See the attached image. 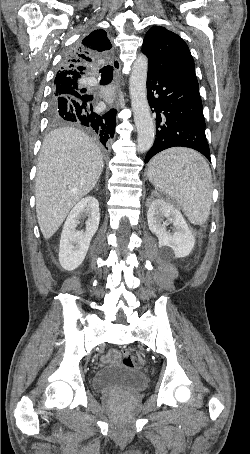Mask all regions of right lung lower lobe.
Masks as SVG:
<instances>
[{
	"mask_svg": "<svg viewBox=\"0 0 250 454\" xmlns=\"http://www.w3.org/2000/svg\"><path fill=\"white\" fill-rule=\"evenodd\" d=\"M92 99L93 96L87 95L82 100L72 99L70 102L67 97L61 96L55 104H51L50 108H53L55 114L64 121L85 126L106 147L107 142L114 136L116 110L111 109L105 114H97L93 111Z\"/></svg>",
	"mask_w": 250,
	"mask_h": 454,
	"instance_id": "right-lung-lower-lobe-1",
	"label": "right lung lower lobe"
}]
</instances>
